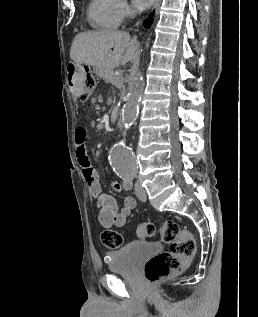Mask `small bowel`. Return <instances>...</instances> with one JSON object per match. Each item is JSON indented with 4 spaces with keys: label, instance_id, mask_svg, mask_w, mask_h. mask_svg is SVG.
Segmentation results:
<instances>
[{
    "label": "small bowel",
    "instance_id": "obj_1",
    "mask_svg": "<svg viewBox=\"0 0 258 317\" xmlns=\"http://www.w3.org/2000/svg\"><path fill=\"white\" fill-rule=\"evenodd\" d=\"M75 146L77 161L89 193L98 209L100 224L106 229L124 226L131 211L136 207L135 199L126 197L123 206L119 207L116 199L103 191L98 173L93 168L87 153L86 130L83 126L76 127ZM111 189L114 192H121L122 186L118 182H113Z\"/></svg>",
    "mask_w": 258,
    "mask_h": 317
}]
</instances>
